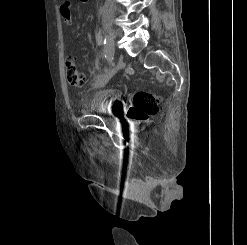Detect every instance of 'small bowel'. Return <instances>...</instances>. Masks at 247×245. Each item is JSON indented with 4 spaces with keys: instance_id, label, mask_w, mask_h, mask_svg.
<instances>
[{
    "instance_id": "c3829d8e",
    "label": "small bowel",
    "mask_w": 247,
    "mask_h": 245,
    "mask_svg": "<svg viewBox=\"0 0 247 245\" xmlns=\"http://www.w3.org/2000/svg\"><path fill=\"white\" fill-rule=\"evenodd\" d=\"M81 1L86 2L87 0H81ZM60 11L66 21L71 20V10H70V4L68 2H65L61 5Z\"/></svg>"
}]
</instances>
